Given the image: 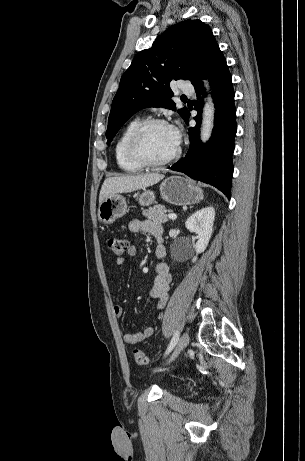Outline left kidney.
I'll list each match as a JSON object with an SVG mask.
<instances>
[{
    "mask_svg": "<svg viewBox=\"0 0 305 461\" xmlns=\"http://www.w3.org/2000/svg\"><path fill=\"white\" fill-rule=\"evenodd\" d=\"M214 219L215 209L211 206L198 210L187 219L186 228L197 234L198 237V242L195 245L196 256L193 257L192 262H195L197 255L207 248L213 232Z\"/></svg>",
    "mask_w": 305,
    "mask_h": 461,
    "instance_id": "obj_1",
    "label": "left kidney"
}]
</instances>
